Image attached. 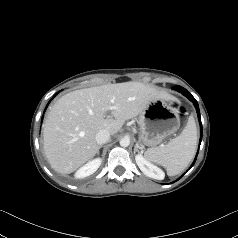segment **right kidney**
<instances>
[{"mask_svg": "<svg viewBox=\"0 0 238 238\" xmlns=\"http://www.w3.org/2000/svg\"><path fill=\"white\" fill-rule=\"evenodd\" d=\"M101 165V159L97 158L94 159L87 164H85L83 167H81L77 172H76V178H84L87 177L91 174H93Z\"/></svg>", "mask_w": 238, "mask_h": 238, "instance_id": "right-kidney-1", "label": "right kidney"}]
</instances>
